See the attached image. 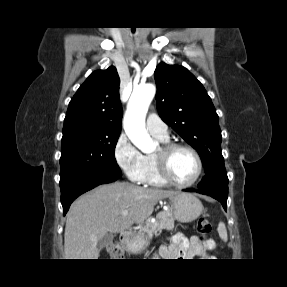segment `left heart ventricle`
Wrapping results in <instances>:
<instances>
[{"label":"left heart ventricle","instance_id":"obj_1","mask_svg":"<svg viewBox=\"0 0 287 287\" xmlns=\"http://www.w3.org/2000/svg\"><path fill=\"white\" fill-rule=\"evenodd\" d=\"M169 169L178 182L187 183L196 176L198 167L193 154L180 149L170 156Z\"/></svg>","mask_w":287,"mask_h":287}]
</instances>
